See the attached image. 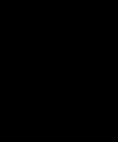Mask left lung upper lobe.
Returning <instances> with one entry per match:
<instances>
[{"label":"left lung upper lobe","instance_id":"5c2ea615","mask_svg":"<svg viewBox=\"0 0 118 142\" xmlns=\"http://www.w3.org/2000/svg\"><path fill=\"white\" fill-rule=\"evenodd\" d=\"M81 92L78 115L96 128L106 127L118 117V70L112 73L97 57L77 54L71 58Z\"/></svg>","mask_w":118,"mask_h":142}]
</instances>
